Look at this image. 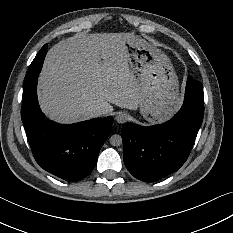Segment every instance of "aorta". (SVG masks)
Listing matches in <instances>:
<instances>
[{"instance_id":"obj_1","label":"aorta","mask_w":233,"mask_h":233,"mask_svg":"<svg viewBox=\"0 0 233 233\" xmlns=\"http://www.w3.org/2000/svg\"><path fill=\"white\" fill-rule=\"evenodd\" d=\"M112 146H120L122 144V137L118 134H114L109 138Z\"/></svg>"}]
</instances>
